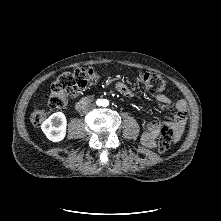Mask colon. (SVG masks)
I'll use <instances>...</instances> for the list:
<instances>
[{
    "label": "colon",
    "instance_id": "1",
    "mask_svg": "<svg viewBox=\"0 0 221 221\" xmlns=\"http://www.w3.org/2000/svg\"><path fill=\"white\" fill-rule=\"evenodd\" d=\"M99 79V74L92 68H80L72 72L61 74L52 84L49 96V105L53 109H62L67 104V96L78 90L88 88L95 84ZM141 85L151 93L165 91L166 82L158 74L143 72L139 75ZM47 114L44 110H35L31 115V121L35 126L41 125ZM177 140V134L169 126L161 129L158 147L160 152L167 151Z\"/></svg>",
    "mask_w": 221,
    "mask_h": 221
}]
</instances>
